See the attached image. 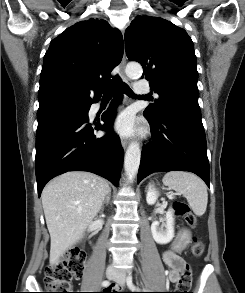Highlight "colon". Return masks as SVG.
<instances>
[{"instance_id":"colon-1","label":"colon","mask_w":245,"mask_h":293,"mask_svg":"<svg viewBox=\"0 0 245 293\" xmlns=\"http://www.w3.org/2000/svg\"><path fill=\"white\" fill-rule=\"evenodd\" d=\"M176 214L183 217L190 227H194L197 218L189 210L187 203L177 201L174 203ZM204 251V244L201 239L194 238L191 245V253L195 257H200ZM86 256L77 249H69L64 253L61 260L56 263L47 264L45 267V288L47 293H77L71 292V282L82 276ZM192 282V272L189 267H185L178 281V288H186Z\"/></svg>"}]
</instances>
